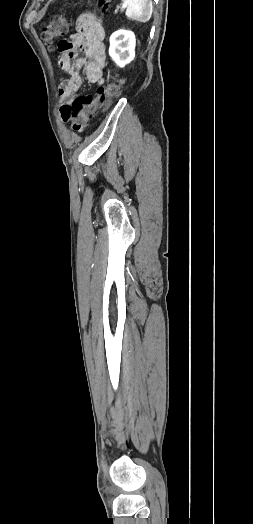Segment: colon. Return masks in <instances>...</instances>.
Segmentation results:
<instances>
[{"label":"colon","mask_w":253,"mask_h":524,"mask_svg":"<svg viewBox=\"0 0 253 524\" xmlns=\"http://www.w3.org/2000/svg\"><path fill=\"white\" fill-rule=\"evenodd\" d=\"M102 11H105L111 0H98ZM69 29V21L64 16L53 17L41 28V39L45 45L52 47L56 38L65 35ZM60 43V41L58 42ZM57 43V44H58ZM123 81L116 79L106 87H99L95 95L77 97L71 104L61 108L63 121L70 122L75 132H82L90 119L103 103H110L113 97L120 94Z\"/></svg>","instance_id":"1"}]
</instances>
